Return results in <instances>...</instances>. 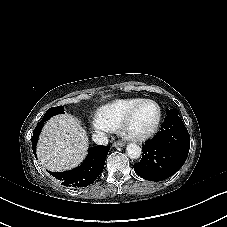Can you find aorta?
<instances>
[{"instance_id":"762f6f07","label":"aorta","mask_w":227,"mask_h":227,"mask_svg":"<svg viewBox=\"0 0 227 227\" xmlns=\"http://www.w3.org/2000/svg\"><path fill=\"white\" fill-rule=\"evenodd\" d=\"M126 150L130 159H138L142 153L140 146L135 143L128 144Z\"/></svg>"}]
</instances>
